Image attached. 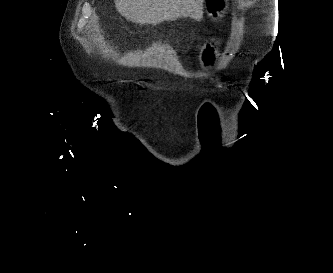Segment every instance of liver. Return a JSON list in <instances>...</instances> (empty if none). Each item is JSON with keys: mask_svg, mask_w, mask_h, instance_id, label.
<instances>
[{"mask_svg": "<svg viewBox=\"0 0 333 273\" xmlns=\"http://www.w3.org/2000/svg\"><path fill=\"white\" fill-rule=\"evenodd\" d=\"M204 0H115L116 10L127 20L156 25L181 17L200 21Z\"/></svg>", "mask_w": 333, "mask_h": 273, "instance_id": "liver-1", "label": "liver"}]
</instances>
